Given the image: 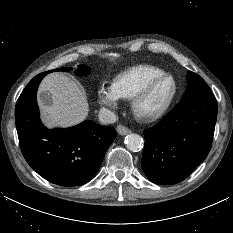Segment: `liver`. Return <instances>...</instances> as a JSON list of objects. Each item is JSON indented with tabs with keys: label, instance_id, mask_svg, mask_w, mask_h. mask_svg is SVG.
<instances>
[{
	"label": "liver",
	"instance_id": "6515ba94",
	"mask_svg": "<svg viewBox=\"0 0 233 233\" xmlns=\"http://www.w3.org/2000/svg\"><path fill=\"white\" fill-rule=\"evenodd\" d=\"M48 91L52 103L46 105L39 98L42 119L47 127H70L86 119L89 105L85 91L76 82L61 73L47 76L39 88V95Z\"/></svg>",
	"mask_w": 233,
	"mask_h": 233
}]
</instances>
